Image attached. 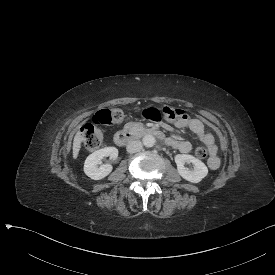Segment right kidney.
<instances>
[{"label":"right kidney","instance_id":"obj_1","mask_svg":"<svg viewBox=\"0 0 275 275\" xmlns=\"http://www.w3.org/2000/svg\"><path fill=\"white\" fill-rule=\"evenodd\" d=\"M107 156L111 159H116L118 157V149L115 147H106L90 154L84 163L85 174L93 180H100L109 175L112 171V165L104 164L98 167L101 160Z\"/></svg>","mask_w":275,"mask_h":275}]
</instances>
